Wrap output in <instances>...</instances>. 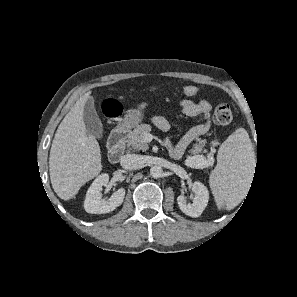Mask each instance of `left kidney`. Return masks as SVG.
<instances>
[{
	"label": "left kidney",
	"mask_w": 297,
	"mask_h": 297,
	"mask_svg": "<svg viewBox=\"0 0 297 297\" xmlns=\"http://www.w3.org/2000/svg\"><path fill=\"white\" fill-rule=\"evenodd\" d=\"M195 193L193 203L188 204L183 195L178 196L177 203L180 210L190 217H199L207 206L209 192L204 184L196 181L192 185Z\"/></svg>",
	"instance_id": "left-kidney-1"
}]
</instances>
